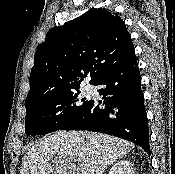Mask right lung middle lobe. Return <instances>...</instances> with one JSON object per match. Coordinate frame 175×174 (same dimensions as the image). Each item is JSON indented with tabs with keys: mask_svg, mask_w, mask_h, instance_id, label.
<instances>
[{
	"mask_svg": "<svg viewBox=\"0 0 175 174\" xmlns=\"http://www.w3.org/2000/svg\"><path fill=\"white\" fill-rule=\"evenodd\" d=\"M79 93V88H75L26 105V135L47 134L63 129L75 120L90 103L87 97L82 98Z\"/></svg>",
	"mask_w": 175,
	"mask_h": 174,
	"instance_id": "right-lung-middle-lobe-1",
	"label": "right lung middle lobe"
}]
</instances>
